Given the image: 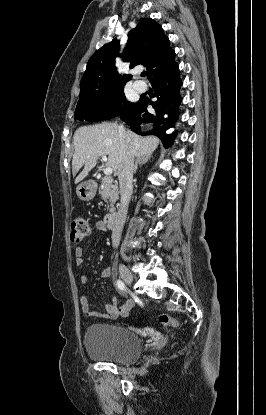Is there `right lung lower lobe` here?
Listing matches in <instances>:
<instances>
[{"instance_id":"right-lung-lower-lobe-1","label":"right lung lower lobe","mask_w":266,"mask_h":415,"mask_svg":"<svg viewBox=\"0 0 266 415\" xmlns=\"http://www.w3.org/2000/svg\"><path fill=\"white\" fill-rule=\"evenodd\" d=\"M150 82L157 100L150 102L147 98H141L138 103H134L121 113L120 118L131 126L134 132L142 135H155L166 147H169L177 133L166 134V130L173 127L178 120V106L181 102L179 91L182 82L179 78L178 65L156 75ZM148 105H152L154 112L147 111ZM165 115L168 116L165 117ZM141 129L144 130L143 133L140 132Z\"/></svg>"}]
</instances>
